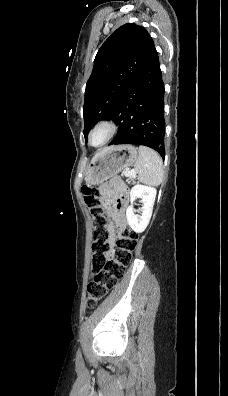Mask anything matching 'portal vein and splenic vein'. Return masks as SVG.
<instances>
[{
  "mask_svg": "<svg viewBox=\"0 0 228 396\" xmlns=\"http://www.w3.org/2000/svg\"><path fill=\"white\" fill-rule=\"evenodd\" d=\"M131 175H134V171L133 170L125 171V176H131Z\"/></svg>",
  "mask_w": 228,
  "mask_h": 396,
  "instance_id": "portal-vein-and-splenic-vein-1",
  "label": "portal vein and splenic vein"
}]
</instances>
